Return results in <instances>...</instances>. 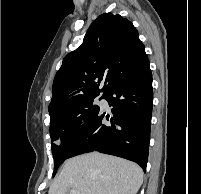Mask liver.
Masks as SVG:
<instances>
[{"mask_svg":"<svg viewBox=\"0 0 201 194\" xmlns=\"http://www.w3.org/2000/svg\"><path fill=\"white\" fill-rule=\"evenodd\" d=\"M143 183V171L118 157L92 152L68 159L51 184L48 194H136Z\"/></svg>","mask_w":201,"mask_h":194,"instance_id":"obj_1","label":"liver"}]
</instances>
